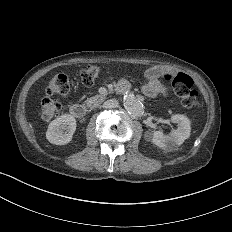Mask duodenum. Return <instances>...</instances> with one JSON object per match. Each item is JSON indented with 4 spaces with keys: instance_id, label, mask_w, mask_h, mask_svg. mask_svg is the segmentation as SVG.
<instances>
[{
    "instance_id": "duodenum-1",
    "label": "duodenum",
    "mask_w": 232,
    "mask_h": 232,
    "mask_svg": "<svg viewBox=\"0 0 232 232\" xmlns=\"http://www.w3.org/2000/svg\"><path fill=\"white\" fill-rule=\"evenodd\" d=\"M120 86H123L124 83H120ZM70 114L78 119L83 118L86 115V108L80 104H72L69 108Z\"/></svg>"
}]
</instances>
